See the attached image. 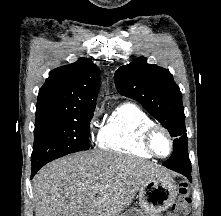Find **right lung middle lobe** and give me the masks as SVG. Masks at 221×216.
I'll return each mask as SVG.
<instances>
[{"label": "right lung middle lobe", "mask_w": 221, "mask_h": 216, "mask_svg": "<svg viewBox=\"0 0 221 216\" xmlns=\"http://www.w3.org/2000/svg\"><path fill=\"white\" fill-rule=\"evenodd\" d=\"M94 110L35 123L32 166L46 163L69 153L88 150V134Z\"/></svg>", "instance_id": "right-lung-middle-lobe-1"}]
</instances>
